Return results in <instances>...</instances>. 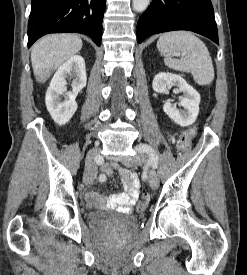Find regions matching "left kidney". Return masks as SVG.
I'll return each instance as SVG.
<instances>
[{"mask_svg": "<svg viewBox=\"0 0 247 275\" xmlns=\"http://www.w3.org/2000/svg\"><path fill=\"white\" fill-rule=\"evenodd\" d=\"M171 86H177L183 97L179 103L184 109L180 110L173 106L170 102H166L163 106L164 112L176 124L186 127L193 124L199 113L200 95L190 86L180 75L172 73H159L154 77L153 89L157 93H166Z\"/></svg>", "mask_w": 247, "mask_h": 275, "instance_id": "obj_1", "label": "left kidney"}]
</instances>
